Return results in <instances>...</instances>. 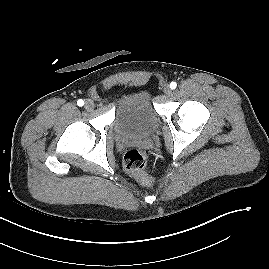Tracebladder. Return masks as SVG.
Returning a JSON list of instances; mask_svg holds the SVG:
<instances>
[{
  "instance_id": "obj_1",
  "label": "bladder",
  "mask_w": 269,
  "mask_h": 269,
  "mask_svg": "<svg viewBox=\"0 0 269 269\" xmlns=\"http://www.w3.org/2000/svg\"><path fill=\"white\" fill-rule=\"evenodd\" d=\"M159 117L145 88L128 91L116 100L114 128L123 138H143L158 127Z\"/></svg>"
}]
</instances>
